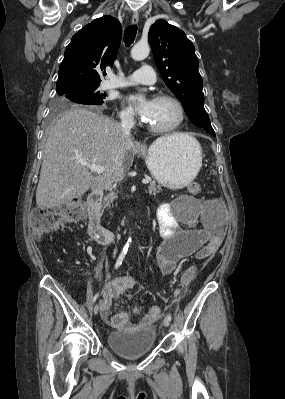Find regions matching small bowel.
<instances>
[{
	"label": "small bowel",
	"mask_w": 285,
	"mask_h": 399,
	"mask_svg": "<svg viewBox=\"0 0 285 399\" xmlns=\"http://www.w3.org/2000/svg\"><path fill=\"white\" fill-rule=\"evenodd\" d=\"M156 218L162 242L157 247L155 260L164 275L172 273L185 257L195 253L197 258H202L200 251L204 244L212 239H222L224 234L225 210L218 199L199 206L192 204L183 209L181 215L174 214L169 203H162L157 208ZM140 283L138 277L130 275H117L110 280L100 304V316L107 325L120 330L135 327L129 313L118 312L111 316L110 308L114 300L125 297L130 288ZM180 294L176 291L177 297ZM145 322L144 319L141 325Z\"/></svg>",
	"instance_id": "obj_1"
}]
</instances>
